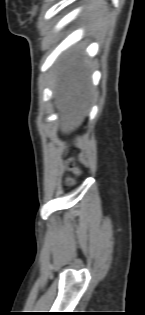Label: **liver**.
I'll return each instance as SVG.
<instances>
[{
  "label": "liver",
  "instance_id": "liver-1",
  "mask_svg": "<svg viewBox=\"0 0 145 315\" xmlns=\"http://www.w3.org/2000/svg\"><path fill=\"white\" fill-rule=\"evenodd\" d=\"M53 89L60 131L69 134L83 123L91 96L89 67L82 50L74 49L61 57Z\"/></svg>",
  "mask_w": 145,
  "mask_h": 315
}]
</instances>
